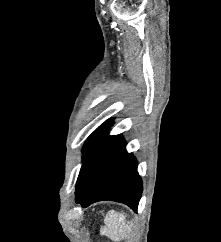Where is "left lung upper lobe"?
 <instances>
[{
  "label": "left lung upper lobe",
  "mask_w": 221,
  "mask_h": 242,
  "mask_svg": "<svg viewBox=\"0 0 221 242\" xmlns=\"http://www.w3.org/2000/svg\"><path fill=\"white\" fill-rule=\"evenodd\" d=\"M111 125H112V121H107L92 133V135L85 142V145L83 148V159L93 149V147L106 135V131L109 129Z\"/></svg>",
  "instance_id": "obj_1"
}]
</instances>
